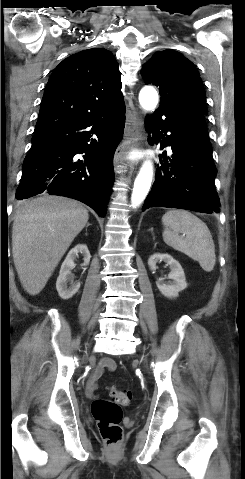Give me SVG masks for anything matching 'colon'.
Wrapping results in <instances>:
<instances>
[{
	"mask_svg": "<svg viewBox=\"0 0 245 479\" xmlns=\"http://www.w3.org/2000/svg\"><path fill=\"white\" fill-rule=\"evenodd\" d=\"M130 401L129 391L112 389L111 399L99 398L92 403V415L97 422L101 437L108 446H115L122 439V407L127 406Z\"/></svg>",
	"mask_w": 245,
	"mask_h": 479,
	"instance_id": "colon-1",
	"label": "colon"
}]
</instances>
